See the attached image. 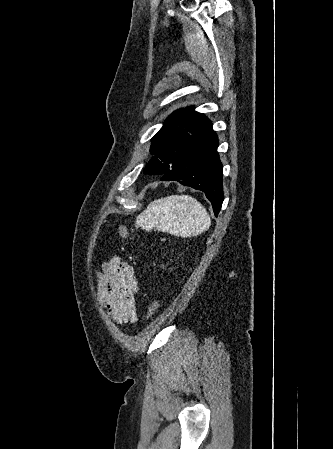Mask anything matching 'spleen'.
I'll return each mask as SVG.
<instances>
[{
	"label": "spleen",
	"instance_id": "1",
	"mask_svg": "<svg viewBox=\"0 0 333 449\" xmlns=\"http://www.w3.org/2000/svg\"><path fill=\"white\" fill-rule=\"evenodd\" d=\"M146 231L156 228L181 237L201 234L211 225L206 208L189 195H171L152 201L136 220Z\"/></svg>",
	"mask_w": 333,
	"mask_h": 449
}]
</instances>
